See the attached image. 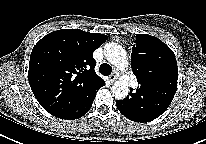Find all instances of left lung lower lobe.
<instances>
[{
  "instance_id": "1",
  "label": "left lung lower lobe",
  "mask_w": 206,
  "mask_h": 144,
  "mask_svg": "<svg viewBox=\"0 0 206 144\" xmlns=\"http://www.w3.org/2000/svg\"><path fill=\"white\" fill-rule=\"evenodd\" d=\"M132 99L138 100L136 101L140 105L138 112L134 113L129 106ZM116 106L126 118L136 122H150L159 117L168 107L162 97L151 98L144 94L143 90L138 89L136 92L131 90L130 97L122 101H116Z\"/></svg>"
}]
</instances>
